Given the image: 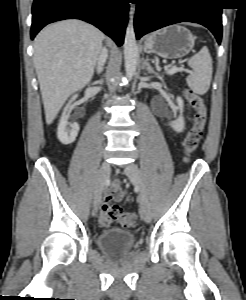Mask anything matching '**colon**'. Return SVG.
I'll return each instance as SVG.
<instances>
[{
	"instance_id": "5ec220e1",
	"label": "colon",
	"mask_w": 246,
	"mask_h": 300,
	"mask_svg": "<svg viewBox=\"0 0 246 300\" xmlns=\"http://www.w3.org/2000/svg\"><path fill=\"white\" fill-rule=\"evenodd\" d=\"M185 96L192 108L195 109L194 124L183 141V151L186 157H189L197 149L203 136L207 123V108L201 96L191 90L185 91ZM102 212L111 221L120 223L122 226L131 227L136 223V215L123 211L116 204H111L110 200L104 199Z\"/></svg>"
}]
</instances>
